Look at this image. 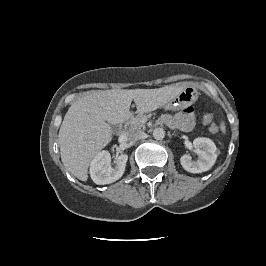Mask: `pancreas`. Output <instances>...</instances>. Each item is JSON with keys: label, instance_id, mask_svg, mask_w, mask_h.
Returning <instances> with one entry per match:
<instances>
[{"label": "pancreas", "instance_id": "obj_1", "mask_svg": "<svg viewBox=\"0 0 266 266\" xmlns=\"http://www.w3.org/2000/svg\"><path fill=\"white\" fill-rule=\"evenodd\" d=\"M147 116L143 114H138L135 117H132L129 121L130 127L132 129H145V124L143 119H145Z\"/></svg>", "mask_w": 266, "mask_h": 266}]
</instances>
